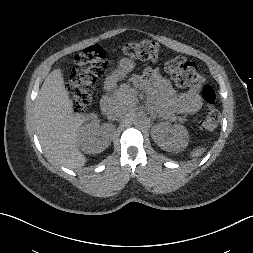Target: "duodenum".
<instances>
[{
  "label": "duodenum",
  "instance_id": "1",
  "mask_svg": "<svg viewBox=\"0 0 253 253\" xmlns=\"http://www.w3.org/2000/svg\"><path fill=\"white\" fill-rule=\"evenodd\" d=\"M112 89V84L110 81H107L106 84H105V95L102 97V100H101V107H102V110L107 112L109 110H111L112 108V101H111V98L109 96V93Z\"/></svg>",
  "mask_w": 253,
  "mask_h": 253
}]
</instances>
